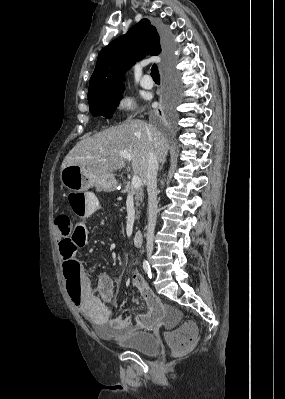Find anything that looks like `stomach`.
<instances>
[{"mask_svg":"<svg viewBox=\"0 0 285 399\" xmlns=\"http://www.w3.org/2000/svg\"><path fill=\"white\" fill-rule=\"evenodd\" d=\"M60 179L66 188L75 192H86L92 187H96L99 192H112L118 187V181L114 175L94 178L76 165L63 168Z\"/></svg>","mask_w":285,"mask_h":399,"instance_id":"1","label":"stomach"}]
</instances>
